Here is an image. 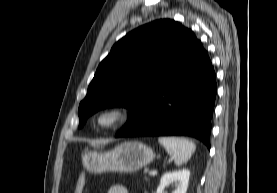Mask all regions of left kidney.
Returning <instances> with one entry per match:
<instances>
[{"label": "left kidney", "mask_w": 277, "mask_h": 193, "mask_svg": "<svg viewBox=\"0 0 277 193\" xmlns=\"http://www.w3.org/2000/svg\"><path fill=\"white\" fill-rule=\"evenodd\" d=\"M190 171L188 169L165 173L157 188L156 193H163L165 187L175 183V190L172 193H186L189 182Z\"/></svg>", "instance_id": "5707ae66"}]
</instances>
